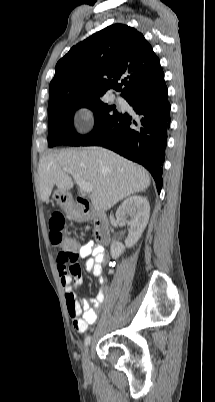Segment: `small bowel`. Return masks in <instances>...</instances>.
<instances>
[{"mask_svg":"<svg viewBox=\"0 0 215 402\" xmlns=\"http://www.w3.org/2000/svg\"><path fill=\"white\" fill-rule=\"evenodd\" d=\"M78 260L85 259L86 272L98 278L99 290L93 300L79 299L76 290L82 284L81 268L74 271L68 270V264L57 260V269L60 283L63 288L67 310L72 319L74 330L83 334L97 320V314L101 310L105 296L108 292L107 280L103 275V265L107 264V256L104 247L88 241L75 250ZM91 256V257H89Z\"/></svg>","mask_w":215,"mask_h":402,"instance_id":"c3829d8e","label":"small bowel"}]
</instances>
